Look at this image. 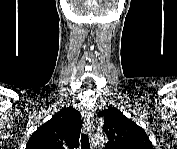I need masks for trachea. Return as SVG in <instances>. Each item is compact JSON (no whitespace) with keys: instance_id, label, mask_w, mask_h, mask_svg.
Wrapping results in <instances>:
<instances>
[{"instance_id":"trachea-1","label":"trachea","mask_w":177,"mask_h":149,"mask_svg":"<svg viewBox=\"0 0 177 149\" xmlns=\"http://www.w3.org/2000/svg\"><path fill=\"white\" fill-rule=\"evenodd\" d=\"M81 149H90L89 138L86 134L81 135Z\"/></svg>"}]
</instances>
